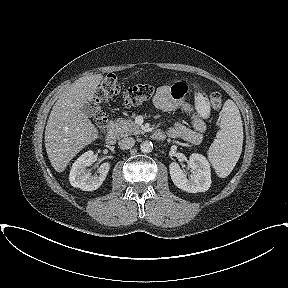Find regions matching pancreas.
<instances>
[{
	"label": "pancreas",
	"instance_id": "cf45deb5",
	"mask_svg": "<svg viewBox=\"0 0 288 288\" xmlns=\"http://www.w3.org/2000/svg\"><path fill=\"white\" fill-rule=\"evenodd\" d=\"M114 127L116 134L120 137L143 133L141 127L136 124L132 119L124 120L118 118L114 123Z\"/></svg>",
	"mask_w": 288,
	"mask_h": 288
}]
</instances>
